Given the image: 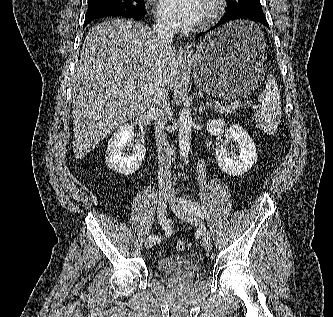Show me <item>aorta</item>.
<instances>
[{"mask_svg": "<svg viewBox=\"0 0 333 317\" xmlns=\"http://www.w3.org/2000/svg\"><path fill=\"white\" fill-rule=\"evenodd\" d=\"M177 125L180 156L186 159L190 151L193 126L192 115L189 109H182L180 111Z\"/></svg>", "mask_w": 333, "mask_h": 317, "instance_id": "1", "label": "aorta"}]
</instances>
